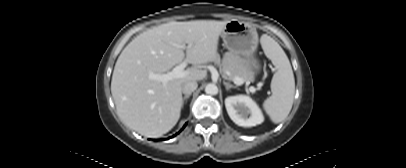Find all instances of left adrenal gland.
Returning a JSON list of instances; mask_svg holds the SVG:
<instances>
[{
  "mask_svg": "<svg viewBox=\"0 0 406 168\" xmlns=\"http://www.w3.org/2000/svg\"><path fill=\"white\" fill-rule=\"evenodd\" d=\"M223 84L225 85L226 90H229L230 88H237V86H234L228 82L223 81Z\"/></svg>",
  "mask_w": 406,
  "mask_h": 168,
  "instance_id": "left-adrenal-gland-1",
  "label": "left adrenal gland"
}]
</instances>
